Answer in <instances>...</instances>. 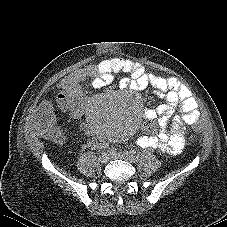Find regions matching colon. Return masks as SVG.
I'll list each match as a JSON object with an SVG mask.
<instances>
[{"mask_svg":"<svg viewBox=\"0 0 227 227\" xmlns=\"http://www.w3.org/2000/svg\"><path fill=\"white\" fill-rule=\"evenodd\" d=\"M44 133H45V136L53 142H60L63 140V134L58 128L54 127L53 125L46 126ZM197 142H198V139L193 134L186 135L184 137V144L186 146L193 147L197 144Z\"/></svg>","mask_w":227,"mask_h":227,"instance_id":"obj_1","label":"colon"}]
</instances>
